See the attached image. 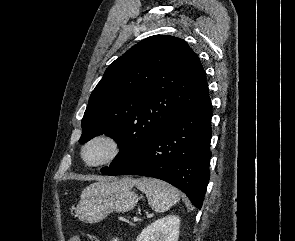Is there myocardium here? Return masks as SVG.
Wrapping results in <instances>:
<instances>
[{"instance_id": "myocardium-1", "label": "myocardium", "mask_w": 295, "mask_h": 241, "mask_svg": "<svg viewBox=\"0 0 295 241\" xmlns=\"http://www.w3.org/2000/svg\"><path fill=\"white\" fill-rule=\"evenodd\" d=\"M96 142H105L110 146V152L108 155L100 161L89 162L86 158V152L88 148ZM123 153L122 141L116 135L109 132H101L90 137L80 149V158L85 166L89 168H97L105 165H109L115 162L121 157Z\"/></svg>"}]
</instances>
